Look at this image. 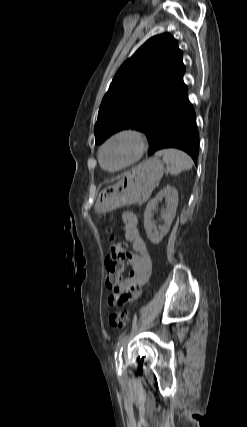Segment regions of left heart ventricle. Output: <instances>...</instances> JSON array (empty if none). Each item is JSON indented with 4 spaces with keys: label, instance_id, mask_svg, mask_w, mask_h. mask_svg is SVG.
<instances>
[{
    "label": "left heart ventricle",
    "instance_id": "1",
    "mask_svg": "<svg viewBox=\"0 0 247 427\" xmlns=\"http://www.w3.org/2000/svg\"><path fill=\"white\" fill-rule=\"evenodd\" d=\"M135 144L131 138H121L108 145L102 154L103 163L107 168H116L132 158Z\"/></svg>",
    "mask_w": 247,
    "mask_h": 427
}]
</instances>
